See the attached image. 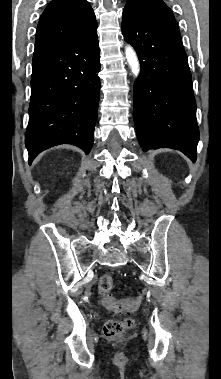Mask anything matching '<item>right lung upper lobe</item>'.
Here are the masks:
<instances>
[{
	"mask_svg": "<svg viewBox=\"0 0 221 379\" xmlns=\"http://www.w3.org/2000/svg\"><path fill=\"white\" fill-rule=\"evenodd\" d=\"M96 24L86 0H52L38 23L34 56L81 38Z\"/></svg>",
	"mask_w": 221,
	"mask_h": 379,
	"instance_id": "obj_1",
	"label": "right lung upper lobe"
}]
</instances>
